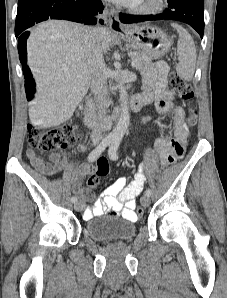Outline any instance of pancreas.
<instances>
[{
	"instance_id": "obj_1",
	"label": "pancreas",
	"mask_w": 227,
	"mask_h": 298,
	"mask_svg": "<svg viewBox=\"0 0 227 298\" xmlns=\"http://www.w3.org/2000/svg\"><path fill=\"white\" fill-rule=\"evenodd\" d=\"M133 59L137 61L138 64L136 66V70H138L140 73H145L153 69L152 60L144 53H138L134 55Z\"/></svg>"
}]
</instances>
